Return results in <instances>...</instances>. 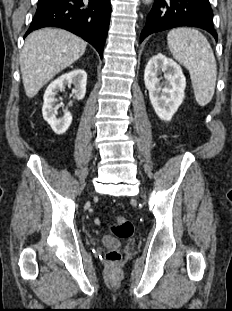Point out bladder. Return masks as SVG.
<instances>
[{
	"label": "bladder",
	"instance_id": "obj_1",
	"mask_svg": "<svg viewBox=\"0 0 232 311\" xmlns=\"http://www.w3.org/2000/svg\"><path fill=\"white\" fill-rule=\"evenodd\" d=\"M105 246L118 247L120 246V241L112 236L105 235L102 239Z\"/></svg>",
	"mask_w": 232,
	"mask_h": 311
}]
</instances>
